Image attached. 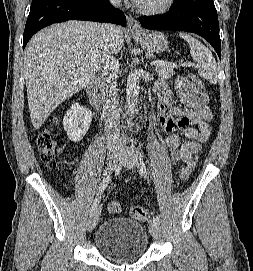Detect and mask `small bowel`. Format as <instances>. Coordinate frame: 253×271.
<instances>
[{
    "label": "small bowel",
    "instance_id": "obj_1",
    "mask_svg": "<svg viewBox=\"0 0 253 271\" xmlns=\"http://www.w3.org/2000/svg\"><path fill=\"white\" fill-rule=\"evenodd\" d=\"M175 88L187 107H173L167 83L162 79L155 83L154 92L158 96L156 126L169 132L166 144L171 149V161L187 163L193 155L200 152L202 143L211 136L210 122L213 114L207 105L206 94L194 80L178 76Z\"/></svg>",
    "mask_w": 253,
    "mask_h": 271
}]
</instances>
